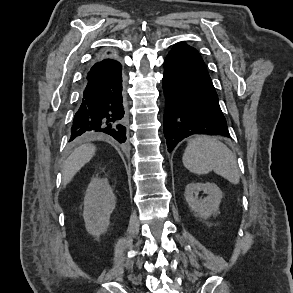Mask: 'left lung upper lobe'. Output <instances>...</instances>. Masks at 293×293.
Returning <instances> with one entry per match:
<instances>
[{
    "instance_id": "5c2ea615",
    "label": "left lung upper lobe",
    "mask_w": 293,
    "mask_h": 293,
    "mask_svg": "<svg viewBox=\"0 0 293 293\" xmlns=\"http://www.w3.org/2000/svg\"><path fill=\"white\" fill-rule=\"evenodd\" d=\"M190 48L193 51L197 61L206 69L205 63H204L203 59L201 58L200 54L198 53V51L193 47H190Z\"/></svg>"
}]
</instances>
